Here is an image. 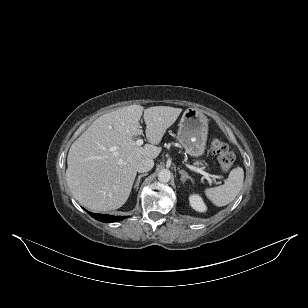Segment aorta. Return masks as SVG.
Segmentation results:
<instances>
[{"mask_svg": "<svg viewBox=\"0 0 308 308\" xmlns=\"http://www.w3.org/2000/svg\"><path fill=\"white\" fill-rule=\"evenodd\" d=\"M171 179V173L167 169H163L158 173V180L162 183H167Z\"/></svg>", "mask_w": 308, "mask_h": 308, "instance_id": "762f6f07", "label": "aorta"}]
</instances>
